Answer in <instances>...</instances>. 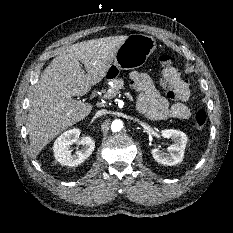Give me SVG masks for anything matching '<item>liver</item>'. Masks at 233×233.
Segmentation results:
<instances>
[{
  "instance_id": "liver-1",
  "label": "liver",
  "mask_w": 233,
  "mask_h": 233,
  "mask_svg": "<svg viewBox=\"0 0 233 233\" xmlns=\"http://www.w3.org/2000/svg\"><path fill=\"white\" fill-rule=\"evenodd\" d=\"M127 37L113 36L73 44L62 49L45 68L29 105L27 131L33 156L62 131L90 114L93 106L73 96L87 94L92 85L105 77Z\"/></svg>"
}]
</instances>
